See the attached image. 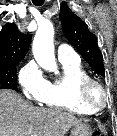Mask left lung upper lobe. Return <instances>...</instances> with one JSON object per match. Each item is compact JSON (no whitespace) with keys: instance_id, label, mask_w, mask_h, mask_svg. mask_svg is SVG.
<instances>
[{"instance_id":"obj_1","label":"left lung upper lobe","mask_w":117,"mask_h":136,"mask_svg":"<svg viewBox=\"0 0 117 136\" xmlns=\"http://www.w3.org/2000/svg\"><path fill=\"white\" fill-rule=\"evenodd\" d=\"M60 19L66 39L97 74L105 77L103 56L98 48L97 38L89 31L86 23L73 13L65 2L61 4Z\"/></svg>"}]
</instances>
